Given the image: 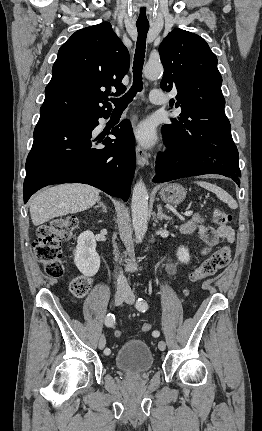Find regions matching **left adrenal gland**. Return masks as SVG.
I'll return each instance as SVG.
<instances>
[{"instance_id":"1","label":"left adrenal gland","mask_w":262,"mask_h":431,"mask_svg":"<svg viewBox=\"0 0 262 431\" xmlns=\"http://www.w3.org/2000/svg\"><path fill=\"white\" fill-rule=\"evenodd\" d=\"M158 211H157V219H159V220H163V219H165V220H170L171 218L169 217V216H167V215H165L164 213H163V211H162V206L161 205H158Z\"/></svg>"}]
</instances>
